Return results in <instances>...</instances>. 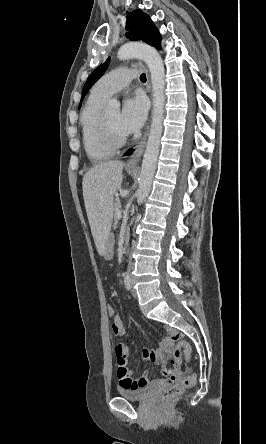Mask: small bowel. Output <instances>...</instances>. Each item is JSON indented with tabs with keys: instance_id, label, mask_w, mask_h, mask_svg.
<instances>
[{
	"instance_id": "obj_1",
	"label": "small bowel",
	"mask_w": 266,
	"mask_h": 444,
	"mask_svg": "<svg viewBox=\"0 0 266 444\" xmlns=\"http://www.w3.org/2000/svg\"><path fill=\"white\" fill-rule=\"evenodd\" d=\"M111 329L113 334L117 337L125 335L126 330L119 315L112 319ZM168 332V335L162 339L160 345L157 348H144L142 351V356L145 360H150L154 363L162 365L164 377L160 379L150 380L147 372H144L142 377L134 379L127 367V347H125L124 345L116 346L115 354L118 364V379L120 387L134 390L144 388L149 385L166 386L178 379L180 375L179 365L173 364L171 361L172 368H168L166 366L171 355V347L174 343V340L177 338V333L175 331L169 329Z\"/></svg>"
}]
</instances>
